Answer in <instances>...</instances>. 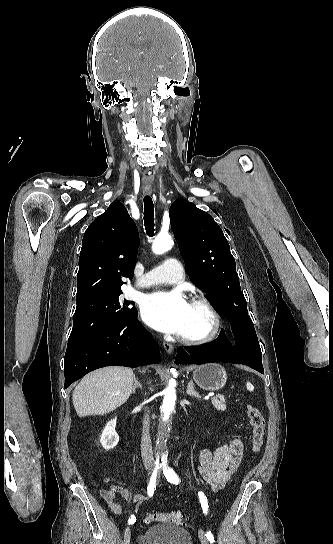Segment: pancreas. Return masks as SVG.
I'll use <instances>...</instances> for the list:
<instances>
[{"instance_id":"pancreas-1","label":"pancreas","mask_w":333,"mask_h":544,"mask_svg":"<svg viewBox=\"0 0 333 544\" xmlns=\"http://www.w3.org/2000/svg\"><path fill=\"white\" fill-rule=\"evenodd\" d=\"M211 402L217 410H226L225 397L223 395L218 394L216 397L211 399Z\"/></svg>"}]
</instances>
